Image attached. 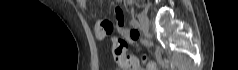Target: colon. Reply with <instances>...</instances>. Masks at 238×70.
<instances>
[{
    "label": "colon",
    "instance_id": "colon-1",
    "mask_svg": "<svg viewBox=\"0 0 238 70\" xmlns=\"http://www.w3.org/2000/svg\"><path fill=\"white\" fill-rule=\"evenodd\" d=\"M122 26V25H120ZM139 33L135 30H132L130 33H121V36H113L112 50H114V59L124 70H137L138 69V60L136 57L126 54L127 44L132 43ZM148 69L155 70L156 67L153 63H148Z\"/></svg>",
    "mask_w": 238,
    "mask_h": 70
}]
</instances>
